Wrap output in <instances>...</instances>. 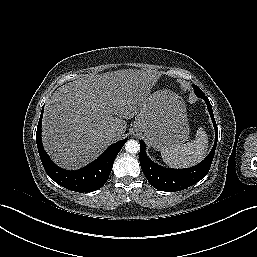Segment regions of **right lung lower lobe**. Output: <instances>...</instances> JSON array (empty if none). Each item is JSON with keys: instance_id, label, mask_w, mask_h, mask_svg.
I'll use <instances>...</instances> for the list:
<instances>
[{"instance_id": "98d812e1", "label": "right lung lower lobe", "mask_w": 257, "mask_h": 257, "mask_svg": "<svg viewBox=\"0 0 257 257\" xmlns=\"http://www.w3.org/2000/svg\"><path fill=\"white\" fill-rule=\"evenodd\" d=\"M39 119L36 132V143L40 159L48 176L62 187L80 192H92L101 188L108 180L113 162L127 141V138L109 146L95 161L79 170H63L50 159L45 152L41 141L42 116Z\"/></svg>"}]
</instances>
